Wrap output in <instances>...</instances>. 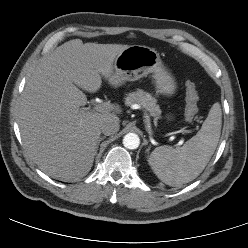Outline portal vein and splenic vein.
<instances>
[{"label":"portal vein and splenic vein","mask_w":248,"mask_h":248,"mask_svg":"<svg viewBox=\"0 0 248 248\" xmlns=\"http://www.w3.org/2000/svg\"><path fill=\"white\" fill-rule=\"evenodd\" d=\"M95 110L101 113H107L113 110V105L109 102L99 103L95 106Z\"/></svg>","instance_id":"portal-vein-and-splenic-vein-1"}]
</instances>
